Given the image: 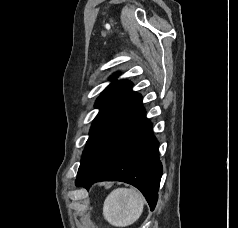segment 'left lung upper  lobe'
Returning <instances> with one entry per match:
<instances>
[{"label": "left lung upper lobe", "mask_w": 238, "mask_h": 228, "mask_svg": "<svg viewBox=\"0 0 238 228\" xmlns=\"http://www.w3.org/2000/svg\"><path fill=\"white\" fill-rule=\"evenodd\" d=\"M131 87L130 81H114L97 99L95 106L100 111L92 123L77 177L96 169L117 133L141 105V95Z\"/></svg>", "instance_id": "5c2ea615"}]
</instances>
